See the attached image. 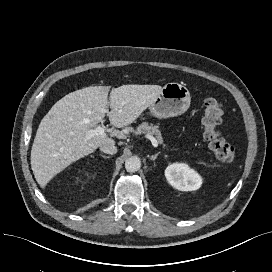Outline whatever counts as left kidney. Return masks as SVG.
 <instances>
[{
  "mask_svg": "<svg viewBox=\"0 0 272 272\" xmlns=\"http://www.w3.org/2000/svg\"><path fill=\"white\" fill-rule=\"evenodd\" d=\"M168 183L180 191H195L202 185L201 176L186 163H173L165 169Z\"/></svg>",
  "mask_w": 272,
  "mask_h": 272,
  "instance_id": "5707ae66",
  "label": "left kidney"
}]
</instances>
